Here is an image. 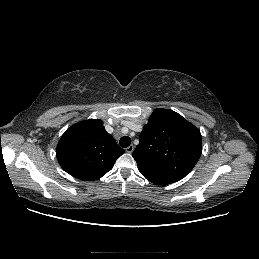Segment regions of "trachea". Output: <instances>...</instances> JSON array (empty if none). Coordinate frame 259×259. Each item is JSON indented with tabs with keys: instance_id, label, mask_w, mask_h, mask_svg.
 Wrapping results in <instances>:
<instances>
[{
	"instance_id": "3493384b",
	"label": "trachea",
	"mask_w": 259,
	"mask_h": 259,
	"mask_svg": "<svg viewBox=\"0 0 259 259\" xmlns=\"http://www.w3.org/2000/svg\"><path fill=\"white\" fill-rule=\"evenodd\" d=\"M119 144L122 148H127L131 144V138L124 136L120 139Z\"/></svg>"
}]
</instances>
